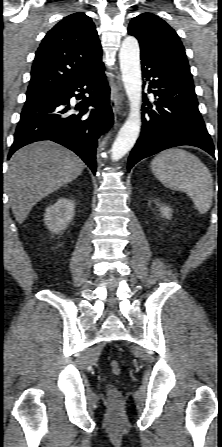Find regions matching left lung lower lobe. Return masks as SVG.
Segmentation results:
<instances>
[{"label": "left lung lower lobe", "mask_w": 222, "mask_h": 447, "mask_svg": "<svg viewBox=\"0 0 222 447\" xmlns=\"http://www.w3.org/2000/svg\"><path fill=\"white\" fill-rule=\"evenodd\" d=\"M142 77L156 97V109L144 95L142 131L128 159V171L143 158L164 149L191 145L214 156V146L198 110L193 82L172 66L141 52Z\"/></svg>", "instance_id": "obj_1"}]
</instances>
